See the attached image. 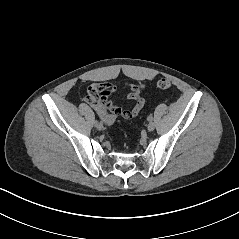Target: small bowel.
<instances>
[{
  "mask_svg": "<svg viewBox=\"0 0 239 239\" xmlns=\"http://www.w3.org/2000/svg\"><path fill=\"white\" fill-rule=\"evenodd\" d=\"M126 86L128 87L127 98L134 101L132 109L116 105L110 100L114 91V87L110 84L89 87L85 98L107 124L113 125L118 116L124 119L137 117L145 105V98L141 96L143 85L127 83ZM104 109L109 113H106Z\"/></svg>",
  "mask_w": 239,
  "mask_h": 239,
  "instance_id": "c3829d8e",
  "label": "small bowel"
}]
</instances>
